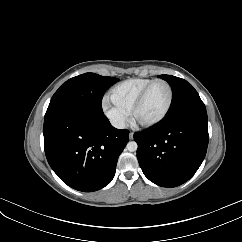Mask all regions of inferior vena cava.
I'll return each instance as SVG.
<instances>
[{
  "mask_svg": "<svg viewBox=\"0 0 242 242\" xmlns=\"http://www.w3.org/2000/svg\"><path fill=\"white\" fill-rule=\"evenodd\" d=\"M112 126L117 129H124L125 128V122L123 120H113L111 122Z\"/></svg>",
  "mask_w": 242,
  "mask_h": 242,
  "instance_id": "inferior-vena-cava-1",
  "label": "inferior vena cava"
}]
</instances>
